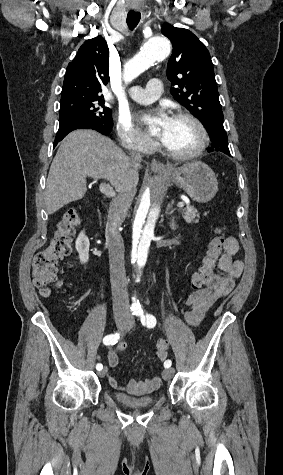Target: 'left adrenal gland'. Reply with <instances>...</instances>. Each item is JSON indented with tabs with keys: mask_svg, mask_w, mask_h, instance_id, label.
Listing matches in <instances>:
<instances>
[{
	"mask_svg": "<svg viewBox=\"0 0 283 475\" xmlns=\"http://www.w3.org/2000/svg\"><path fill=\"white\" fill-rule=\"evenodd\" d=\"M173 208V202H171V204H168L167 208H166V214H173L174 210H172ZM175 218L176 216H171L170 218V228L171 230H177L178 226H177V222H175ZM179 218V216H178Z\"/></svg>",
	"mask_w": 283,
	"mask_h": 475,
	"instance_id": "left-adrenal-gland-1",
	"label": "left adrenal gland"
}]
</instances>
